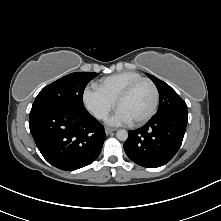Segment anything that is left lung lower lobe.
<instances>
[{"instance_id":"0a47b994","label":"left lung lower lobe","mask_w":221,"mask_h":221,"mask_svg":"<svg viewBox=\"0 0 221 221\" xmlns=\"http://www.w3.org/2000/svg\"><path fill=\"white\" fill-rule=\"evenodd\" d=\"M187 118V110H175L151 118L143 127L129 131V137L123 145L125 153L140 166H163L180 148Z\"/></svg>"}]
</instances>
